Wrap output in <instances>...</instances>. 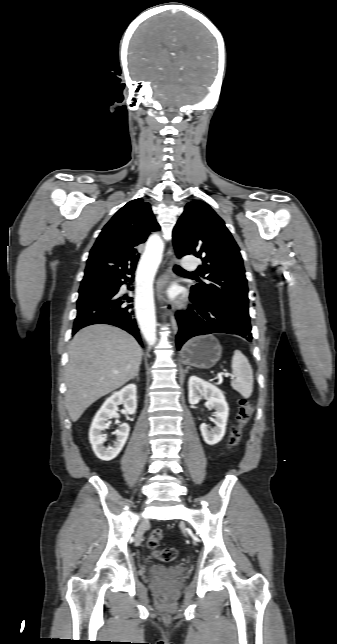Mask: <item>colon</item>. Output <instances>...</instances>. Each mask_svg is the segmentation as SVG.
<instances>
[{
	"instance_id": "colon-1",
	"label": "colon",
	"mask_w": 337,
	"mask_h": 644,
	"mask_svg": "<svg viewBox=\"0 0 337 644\" xmlns=\"http://www.w3.org/2000/svg\"><path fill=\"white\" fill-rule=\"evenodd\" d=\"M253 412V406L246 398L239 399V407L237 409L235 422L231 427V431L228 438V446L233 448L238 444L242 436V430L244 426L250 420V417ZM163 540V533L160 529L153 530L147 539L148 547L153 550L154 555L164 562L173 561L177 556V550L172 547H167L164 549H158L160 543Z\"/></svg>"
}]
</instances>
